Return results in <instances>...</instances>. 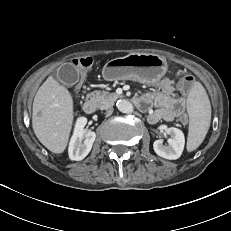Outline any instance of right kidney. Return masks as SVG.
<instances>
[{
  "mask_svg": "<svg viewBox=\"0 0 231 231\" xmlns=\"http://www.w3.org/2000/svg\"><path fill=\"white\" fill-rule=\"evenodd\" d=\"M86 123L87 119L85 117H79L76 121L68 149L71 160H83L92 149L96 134L93 131L84 130Z\"/></svg>",
  "mask_w": 231,
  "mask_h": 231,
  "instance_id": "ca27d5eb",
  "label": "right kidney"
}]
</instances>
